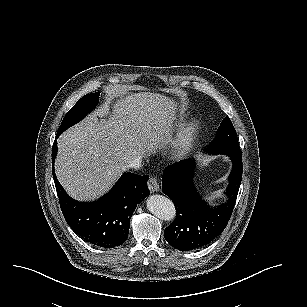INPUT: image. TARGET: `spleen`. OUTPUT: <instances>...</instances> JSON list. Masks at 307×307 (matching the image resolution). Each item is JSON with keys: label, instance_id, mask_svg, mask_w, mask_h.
I'll use <instances>...</instances> for the list:
<instances>
[{"label": "spleen", "instance_id": "3e777b00", "mask_svg": "<svg viewBox=\"0 0 307 307\" xmlns=\"http://www.w3.org/2000/svg\"><path fill=\"white\" fill-rule=\"evenodd\" d=\"M213 190H214L213 187H206V188H203L200 192L205 195H210L213 193Z\"/></svg>", "mask_w": 307, "mask_h": 307}]
</instances>
